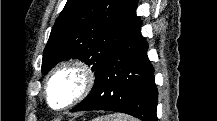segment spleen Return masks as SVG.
Listing matches in <instances>:
<instances>
[{"mask_svg": "<svg viewBox=\"0 0 217 121\" xmlns=\"http://www.w3.org/2000/svg\"><path fill=\"white\" fill-rule=\"evenodd\" d=\"M95 121H134V120L126 115L113 114V115H107L104 117L97 118L95 119Z\"/></svg>", "mask_w": 217, "mask_h": 121, "instance_id": "1", "label": "spleen"}]
</instances>
